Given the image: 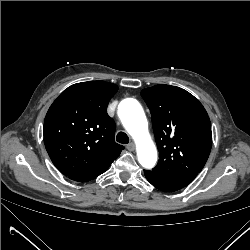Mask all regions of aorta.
<instances>
[{
	"label": "aorta",
	"instance_id": "aorta-1",
	"mask_svg": "<svg viewBox=\"0 0 250 250\" xmlns=\"http://www.w3.org/2000/svg\"><path fill=\"white\" fill-rule=\"evenodd\" d=\"M119 107L125 112L122 123L136 143L139 163L146 169L153 168L157 161V150L149 134L148 122L142 106L137 100L127 98L120 103Z\"/></svg>",
	"mask_w": 250,
	"mask_h": 250
}]
</instances>
